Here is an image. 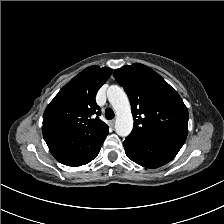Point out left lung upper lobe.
<instances>
[{
  "mask_svg": "<svg viewBox=\"0 0 224 224\" xmlns=\"http://www.w3.org/2000/svg\"><path fill=\"white\" fill-rule=\"evenodd\" d=\"M113 75L131 103V134L182 147L189 115L179 94L159 74L140 63L116 69Z\"/></svg>",
  "mask_w": 224,
  "mask_h": 224,
  "instance_id": "1",
  "label": "left lung upper lobe"
}]
</instances>
